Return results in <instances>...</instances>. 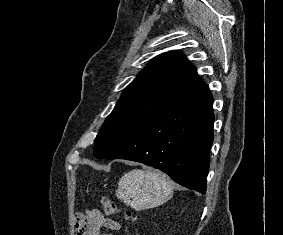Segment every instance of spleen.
Segmentation results:
<instances>
[{
  "instance_id": "spleen-1",
  "label": "spleen",
  "mask_w": 283,
  "mask_h": 235,
  "mask_svg": "<svg viewBox=\"0 0 283 235\" xmlns=\"http://www.w3.org/2000/svg\"><path fill=\"white\" fill-rule=\"evenodd\" d=\"M174 183L159 171L133 169L118 183L116 197L127 206L141 211L167 202L173 195Z\"/></svg>"
}]
</instances>
